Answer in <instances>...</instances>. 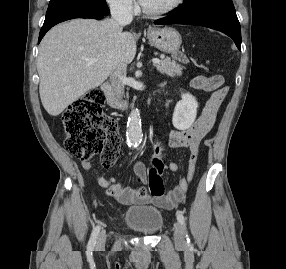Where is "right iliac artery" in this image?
I'll use <instances>...</instances> for the list:
<instances>
[{"label": "right iliac artery", "mask_w": 286, "mask_h": 269, "mask_svg": "<svg viewBox=\"0 0 286 269\" xmlns=\"http://www.w3.org/2000/svg\"><path fill=\"white\" fill-rule=\"evenodd\" d=\"M100 232V226H96L91 234L90 240L88 242V249L93 250L97 241L98 234Z\"/></svg>", "instance_id": "obj_1"}]
</instances>
